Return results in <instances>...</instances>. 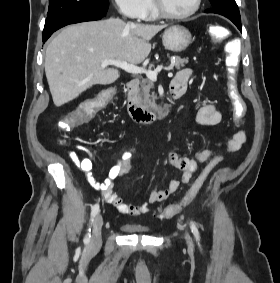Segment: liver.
<instances>
[{"instance_id": "liver-1", "label": "liver", "mask_w": 280, "mask_h": 283, "mask_svg": "<svg viewBox=\"0 0 280 283\" xmlns=\"http://www.w3.org/2000/svg\"><path fill=\"white\" fill-rule=\"evenodd\" d=\"M165 27L110 18L63 29L50 42L45 56V73L54 104L60 107L93 85L116 81L119 71L103 68L101 62H143L151 51L149 41Z\"/></svg>"}]
</instances>
